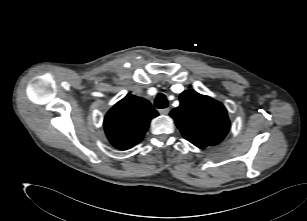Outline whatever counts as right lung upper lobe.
<instances>
[{
  "mask_svg": "<svg viewBox=\"0 0 307 221\" xmlns=\"http://www.w3.org/2000/svg\"><path fill=\"white\" fill-rule=\"evenodd\" d=\"M156 116L158 112L148 100L127 94L104 119L107 138L114 147L127 150L142 140L150 120Z\"/></svg>",
  "mask_w": 307,
  "mask_h": 221,
  "instance_id": "1",
  "label": "right lung upper lobe"
}]
</instances>
